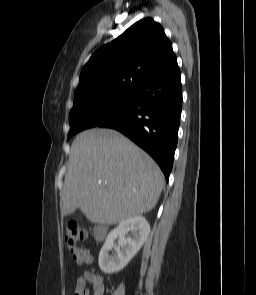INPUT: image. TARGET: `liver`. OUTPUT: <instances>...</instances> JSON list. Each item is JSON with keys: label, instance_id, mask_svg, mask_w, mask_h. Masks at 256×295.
Returning <instances> with one entry per match:
<instances>
[{"label": "liver", "instance_id": "obj_1", "mask_svg": "<svg viewBox=\"0 0 256 295\" xmlns=\"http://www.w3.org/2000/svg\"><path fill=\"white\" fill-rule=\"evenodd\" d=\"M156 162L115 130L91 129L72 143L62 215L79 208L97 224H116L151 211L164 187Z\"/></svg>", "mask_w": 256, "mask_h": 295}]
</instances>
